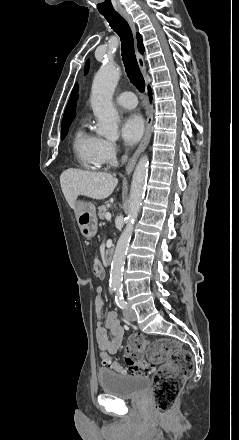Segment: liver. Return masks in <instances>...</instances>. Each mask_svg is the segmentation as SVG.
I'll return each mask as SVG.
<instances>
[{"instance_id":"1","label":"liver","mask_w":239,"mask_h":440,"mask_svg":"<svg viewBox=\"0 0 239 440\" xmlns=\"http://www.w3.org/2000/svg\"><path fill=\"white\" fill-rule=\"evenodd\" d=\"M60 184L66 202L74 210L78 196L105 200L114 192L118 180L106 172H84L69 168L61 174Z\"/></svg>"}]
</instances>
